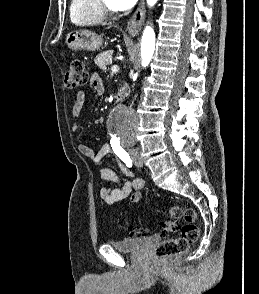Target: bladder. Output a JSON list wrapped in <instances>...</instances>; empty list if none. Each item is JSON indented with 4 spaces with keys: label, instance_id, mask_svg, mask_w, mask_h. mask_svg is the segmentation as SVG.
Instances as JSON below:
<instances>
[{
    "label": "bladder",
    "instance_id": "obj_1",
    "mask_svg": "<svg viewBox=\"0 0 259 294\" xmlns=\"http://www.w3.org/2000/svg\"><path fill=\"white\" fill-rule=\"evenodd\" d=\"M157 240H159L158 235H151L146 237H128L118 241H111L109 242V245L119 252L136 253Z\"/></svg>",
    "mask_w": 259,
    "mask_h": 294
}]
</instances>
